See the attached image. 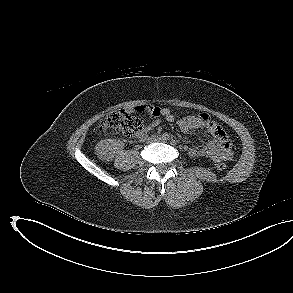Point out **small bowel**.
I'll return each instance as SVG.
<instances>
[{
  "mask_svg": "<svg viewBox=\"0 0 293 293\" xmlns=\"http://www.w3.org/2000/svg\"><path fill=\"white\" fill-rule=\"evenodd\" d=\"M135 111L147 113L155 120L148 126L143 127L135 134L137 141H143L148 133L159 125L160 118L168 122H173L176 118L175 115L168 108H160L149 105H143L135 108ZM178 126L184 133H188L195 129H205L213 137L212 140L207 141L199 146L191 147L188 153L192 157H208L214 162L230 160L232 158V150L230 141L223 130V128L209 115L202 113L200 115L185 116L178 120Z\"/></svg>",
  "mask_w": 293,
  "mask_h": 293,
  "instance_id": "c3829d8e",
  "label": "small bowel"
}]
</instances>
